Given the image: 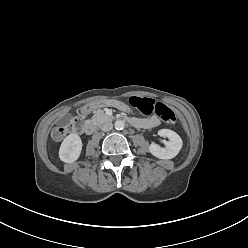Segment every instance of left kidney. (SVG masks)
I'll return each instance as SVG.
<instances>
[{"mask_svg":"<svg viewBox=\"0 0 248 248\" xmlns=\"http://www.w3.org/2000/svg\"><path fill=\"white\" fill-rule=\"evenodd\" d=\"M158 135L167 137L168 141L164 143L165 147L152 143L149 146L150 153L159 159L174 158L182 148L183 142L181 137L170 129H161L158 131Z\"/></svg>","mask_w":248,"mask_h":248,"instance_id":"1","label":"left kidney"}]
</instances>
